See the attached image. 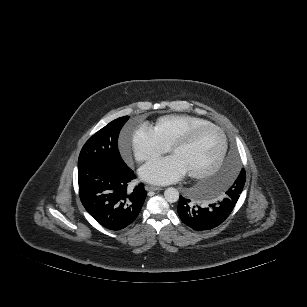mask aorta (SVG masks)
<instances>
[{
  "label": "aorta",
  "instance_id": "obj_1",
  "mask_svg": "<svg viewBox=\"0 0 307 307\" xmlns=\"http://www.w3.org/2000/svg\"><path fill=\"white\" fill-rule=\"evenodd\" d=\"M164 198L169 203H175L179 199V191L176 188L169 187L164 192Z\"/></svg>",
  "mask_w": 307,
  "mask_h": 307
}]
</instances>
